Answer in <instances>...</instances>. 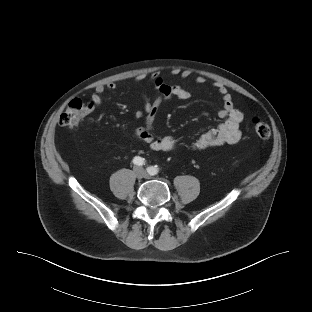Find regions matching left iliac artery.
I'll return each instance as SVG.
<instances>
[{
	"instance_id": "left-iliac-artery-1",
	"label": "left iliac artery",
	"mask_w": 312,
	"mask_h": 312,
	"mask_svg": "<svg viewBox=\"0 0 312 312\" xmlns=\"http://www.w3.org/2000/svg\"><path fill=\"white\" fill-rule=\"evenodd\" d=\"M147 172H148L150 175H155V174H157V172H158L157 166L148 167V168H147Z\"/></svg>"
}]
</instances>
